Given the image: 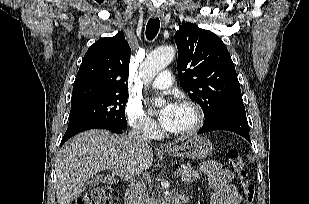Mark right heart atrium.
I'll return each mask as SVG.
<instances>
[{
	"label": "right heart atrium",
	"mask_w": 309,
	"mask_h": 204,
	"mask_svg": "<svg viewBox=\"0 0 309 204\" xmlns=\"http://www.w3.org/2000/svg\"><path fill=\"white\" fill-rule=\"evenodd\" d=\"M126 115L130 126L135 132L147 138H153L157 135L158 128L156 123L144 111L139 101H128Z\"/></svg>",
	"instance_id": "obj_1"
}]
</instances>
